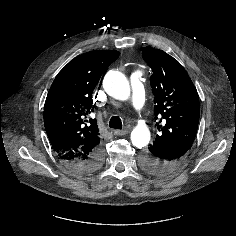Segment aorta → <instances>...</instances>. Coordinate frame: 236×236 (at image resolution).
Masks as SVG:
<instances>
[{
    "instance_id": "obj_1",
    "label": "aorta",
    "mask_w": 236,
    "mask_h": 236,
    "mask_svg": "<svg viewBox=\"0 0 236 236\" xmlns=\"http://www.w3.org/2000/svg\"><path fill=\"white\" fill-rule=\"evenodd\" d=\"M108 95L118 100H126L130 95V85L125 75L119 71H109L103 80ZM132 144L137 148L146 146L150 141V131L144 124H138L131 132Z\"/></svg>"
}]
</instances>
